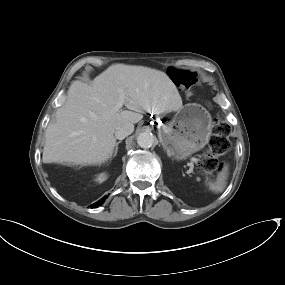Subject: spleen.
Returning <instances> with one entry per match:
<instances>
[{
  "label": "spleen",
  "mask_w": 285,
  "mask_h": 285,
  "mask_svg": "<svg viewBox=\"0 0 285 285\" xmlns=\"http://www.w3.org/2000/svg\"><path fill=\"white\" fill-rule=\"evenodd\" d=\"M226 179H227V171L225 169L219 174L216 182L209 183V188L215 193L223 192V190L226 187Z\"/></svg>",
  "instance_id": "1"
}]
</instances>
